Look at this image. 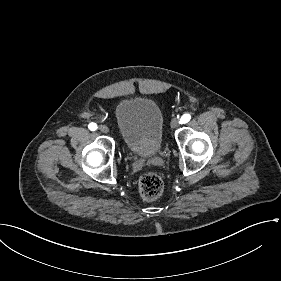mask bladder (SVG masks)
Segmentation results:
<instances>
[{"label":"bladder","instance_id":"31cf9c89","mask_svg":"<svg viewBox=\"0 0 281 281\" xmlns=\"http://www.w3.org/2000/svg\"><path fill=\"white\" fill-rule=\"evenodd\" d=\"M114 124L124 147L140 157L157 155L164 141V113L150 96L131 95L116 101Z\"/></svg>","mask_w":281,"mask_h":281}]
</instances>
